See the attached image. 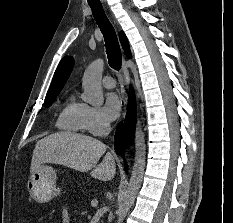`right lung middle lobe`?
<instances>
[{"label": "right lung middle lobe", "mask_w": 233, "mask_h": 223, "mask_svg": "<svg viewBox=\"0 0 233 223\" xmlns=\"http://www.w3.org/2000/svg\"><path fill=\"white\" fill-rule=\"evenodd\" d=\"M52 103L47 104L46 106H50Z\"/></svg>", "instance_id": "right-lung-middle-lobe-1"}]
</instances>
